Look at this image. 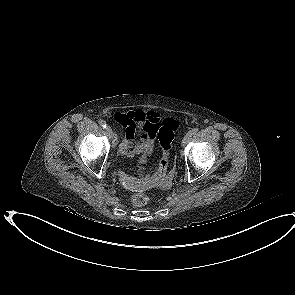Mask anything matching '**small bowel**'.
Masks as SVG:
<instances>
[{
    "label": "small bowel",
    "mask_w": 295,
    "mask_h": 295,
    "mask_svg": "<svg viewBox=\"0 0 295 295\" xmlns=\"http://www.w3.org/2000/svg\"><path fill=\"white\" fill-rule=\"evenodd\" d=\"M115 120L126 127L124 139L120 144V152L124 157L133 158L137 155H150L153 151L155 134L152 131L154 123L159 122L156 112L141 110L127 113H117ZM140 138L135 140V135ZM119 181L129 189L148 190L150 183L143 180H133L126 174L119 176Z\"/></svg>",
    "instance_id": "obj_1"
}]
</instances>
